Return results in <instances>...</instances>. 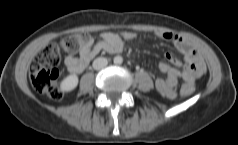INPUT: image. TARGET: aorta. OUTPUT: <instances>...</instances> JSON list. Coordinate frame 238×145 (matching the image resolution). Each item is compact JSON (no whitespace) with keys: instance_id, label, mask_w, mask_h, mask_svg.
I'll use <instances>...</instances> for the list:
<instances>
[{"instance_id":"762f6f07","label":"aorta","mask_w":238,"mask_h":145,"mask_svg":"<svg viewBox=\"0 0 238 145\" xmlns=\"http://www.w3.org/2000/svg\"><path fill=\"white\" fill-rule=\"evenodd\" d=\"M123 62V58L121 56H116L114 58V63L115 64H121Z\"/></svg>"}]
</instances>
